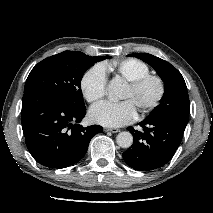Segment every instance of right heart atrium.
Listing matches in <instances>:
<instances>
[{"label":"right heart atrium","mask_w":213,"mask_h":213,"mask_svg":"<svg viewBox=\"0 0 213 213\" xmlns=\"http://www.w3.org/2000/svg\"><path fill=\"white\" fill-rule=\"evenodd\" d=\"M81 92L89 103L101 100L107 89V74L102 65H94L87 69L80 81Z\"/></svg>","instance_id":"1"}]
</instances>
